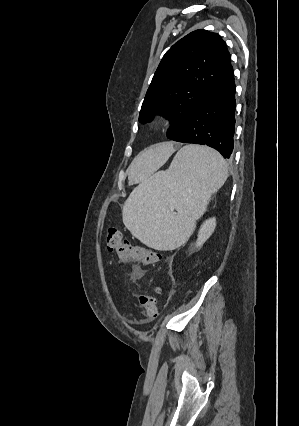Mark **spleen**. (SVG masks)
I'll return each mask as SVG.
<instances>
[{"label":"spleen","instance_id":"3e777b00","mask_svg":"<svg viewBox=\"0 0 299 426\" xmlns=\"http://www.w3.org/2000/svg\"><path fill=\"white\" fill-rule=\"evenodd\" d=\"M227 178L228 165L220 153L186 145L166 171L145 178L132 191L123 206V223L146 246L174 250L186 242Z\"/></svg>","mask_w":299,"mask_h":426}]
</instances>
